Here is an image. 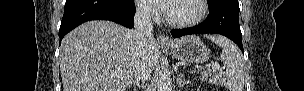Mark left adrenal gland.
Returning a JSON list of instances; mask_svg holds the SVG:
<instances>
[{
  "instance_id": "left-adrenal-gland-1",
  "label": "left adrenal gland",
  "mask_w": 304,
  "mask_h": 91,
  "mask_svg": "<svg viewBox=\"0 0 304 91\" xmlns=\"http://www.w3.org/2000/svg\"><path fill=\"white\" fill-rule=\"evenodd\" d=\"M176 80H177V85H178L179 87H183L184 85L190 83V81H187V80L184 79L183 74L177 75Z\"/></svg>"
}]
</instances>
